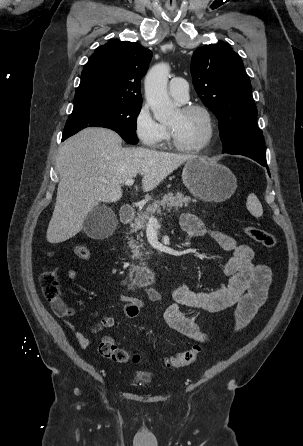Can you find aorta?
<instances>
[{
	"mask_svg": "<svg viewBox=\"0 0 303 446\" xmlns=\"http://www.w3.org/2000/svg\"><path fill=\"white\" fill-rule=\"evenodd\" d=\"M170 67L166 63L153 66L145 78V97L155 119L159 122L172 118L177 113L176 105L167 93Z\"/></svg>",
	"mask_w": 303,
	"mask_h": 446,
	"instance_id": "1",
	"label": "aorta"
}]
</instances>
